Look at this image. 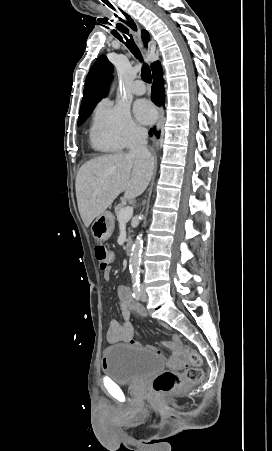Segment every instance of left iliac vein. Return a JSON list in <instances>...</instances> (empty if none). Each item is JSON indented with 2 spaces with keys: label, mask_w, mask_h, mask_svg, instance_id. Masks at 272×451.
Returning <instances> with one entry per match:
<instances>
[{
  "label": "left iliac vein",
  "mask_w": 272,
  "mask_h": 451,
  "mask_svg": "<svg viewBox=\"0 0 272 451\" xmlns=\"http://www.w3.org/2000/svg\"><path fill=\"white\" fill-rule=\"evenodd\" d=\"M141 289H142L141 300H142V301H146V300H147V295H146V292H145V288L142 286Z\"/></svg>",
  "instance_id": "4c4485c4"
}]
</instances>
